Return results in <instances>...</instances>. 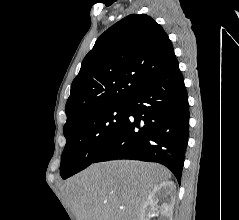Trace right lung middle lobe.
Here are the masks:
<instances>
[{
    "instance_id": "dd1d6c3e",
    "label": "right lung middle lobe",
    "mask_w": 239,
    "mask_h": 220,
    "mask_svg": "<svg viewBox=\"0 0 239 220\" xmlns=\"http://www.w3.org/2000/svg\"><path fill=\"white\" fill-rule=\"evenodd\" d=\"M126 103L92 111L63 129L60 175L66 179L94 162L126 120Z\"/></svg>"
}]
</instances>
